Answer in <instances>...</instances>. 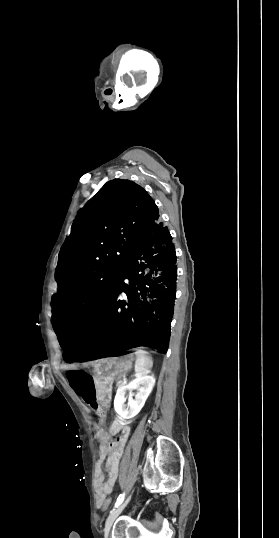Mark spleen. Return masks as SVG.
Returning <instances> with one entry per match:
<instances>
[{
	"label": "spleen",
	"mask_w": 279,
	"mask_h": 538,
	"mask_svg": "<svg viewBox=\"0 0 279 538\" xmlns=\"http://www.w3.org/2000/svg\"><path fill=\"white\" fill-rule=\"evenodd\" d=\"M134 354L136 356L135 370L137 372H147V370L153 368L152 358H150L148 352H145V350H136Z\"/></svg>",
	"instance_id": "obj_1"
}]
</instances>
